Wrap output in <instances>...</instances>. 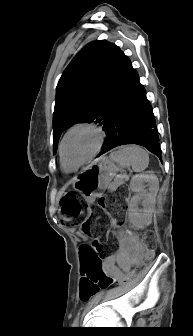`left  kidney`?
<instances>
[{
	"label": "left kidney",
	"mask_w": 193,
	"mask_h": 336,
	"mask_svg": "<svg viewBox=\"0 0 193 336\" xmlns=\"http://www.w3.org/2000/svg\"><path fill=\"white\" fill-rule=\"evenodd\" d=\"M145 184L149 186V191L144 189ZM130 188L136 194L129 202L128 218L137 228L149 226L152 222L156 196L159 190L158 178L152 171L136 174L130 181ZM141 200L143 209L139 211L137 206Z\"/></svg>",
	"instance_id": "obj_1"
}]
</instances>
